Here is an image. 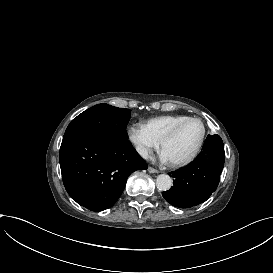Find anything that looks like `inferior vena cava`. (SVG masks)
<instances>
[{"mask_svg": "<svg viewBox=\"0 0 273 273\" xmlns=\"http://www.w3.org/2000/svg\"><path fill=\"white\" fill-rule=\"evenodd\" d=\"M136 149L143 158L149 159V153L146 148H144L142 146H137Z\"/></svg>", "mask_w": 273, "mask_h": 273, "instance_id": "602c4592", "label": "inferior vena cava"}]
</instances>
